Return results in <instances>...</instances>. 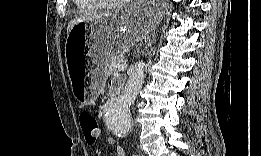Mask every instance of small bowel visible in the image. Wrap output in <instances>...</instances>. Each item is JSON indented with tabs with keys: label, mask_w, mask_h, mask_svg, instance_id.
Segmentation results:
<instances>
[{
	"label": "small bowel",
	"mask_w": 261,
	"mask_h": 156,
	"mask_svg": "<svg viewBox=\"0 0 261 156\" xmlns=\"http://www.w3.org/2000/svg\"><path fill=\"white\" fill-rule=\"evenodd\" d=\"M123 85V79L122 78H114L109 83V90L110 93L116 91ZM110 143L113 144L114 140H110ZM117 155L118 156H124L125 151L121 146H117Z\"/></svg>",
	"instance_id": "1"
}]
</instances>
